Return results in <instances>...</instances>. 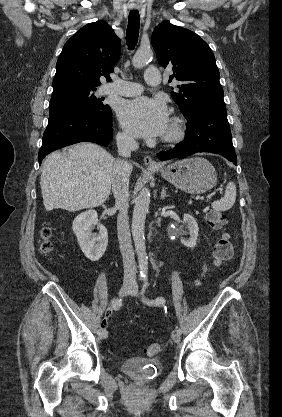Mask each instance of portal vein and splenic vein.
<instances>
[{
	"label": "portal vein and splenic vein",
	"mask_w": 282,
	"mask_h": 417,
	"mask_svg": "<svg viewBox=\"0 0 282 417\" xmlns=\"http://www.w3.org/2000/svg\"><path fill=\"white\" fill-rule=\"evenodd\" d=\"M193 200H194L195 202H198V201H207V200H208V197H207V196H205L204 194H201V195L196 194V195L193 197Z\"/></svg>",
	"instance_id": "1"
}]
</instances>
